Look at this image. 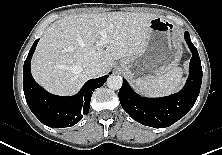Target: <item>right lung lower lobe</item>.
<instances>
[{
	"instance_id": "98d812e1",
	"label": "right lung lower lobe",
	"mask_w": 222,
	"mask_h": 155,
	"mask_svg": "<svg viewBox=\"0 0 222 155\" xmlns=\"http://www.w3.org/2000/svg\"><path fill=\"white\" fill-rule=\"evenodd\" d=\"M38 41L34 42L24 62L23 90L27 104L43 124L55 128L71 127L88 114L94 89L101 87L109 75L87 81L72 97L50 94L35 82L30 70L31 57Z\"/></svg>"
}]
</instances>
